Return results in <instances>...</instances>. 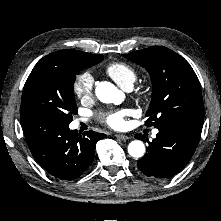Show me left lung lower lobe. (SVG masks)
Listing matches in <instances>:
<instances>
[{
  "label": "left lung lower lobe",
  "mask_w": 221,
  "mask_h": 221,
  "mask_svg": "<svg viewBox=\"0 0 221 221\" xmlns=\"http://www.w3.org/2000/svg\"><path fill=\"white\" fill-rule=\"evenodd\" d=\"M203 120L183 119L159 127L147 153L137 162L139 170L153 179L169 178L182 170L199 143ZM135 138L143 140L139 134Z\"/></svg>",
  "instance_id": "1"
}]
</instances>
